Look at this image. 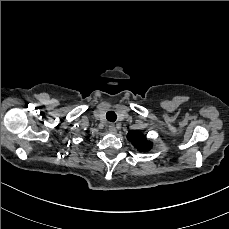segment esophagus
<instances>
[{
	"instance_id": "esophagus-1",
	"label": "esophagus",
	"mask_w": 229,
	"mask_h": 229,
	"mask_svg": "<svg viewBox=\"0 0 229 229\" xmlns=\"http://www.w3.org/2000/svg\"><path fill=\"white\" fill-rule=\"evenodd\" d=\"M108 130L113 134L117 132L116 127L113 124L108 126Z\"/></svg>"
}]
</instances>
